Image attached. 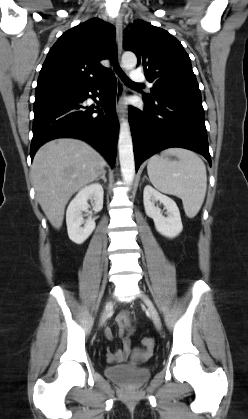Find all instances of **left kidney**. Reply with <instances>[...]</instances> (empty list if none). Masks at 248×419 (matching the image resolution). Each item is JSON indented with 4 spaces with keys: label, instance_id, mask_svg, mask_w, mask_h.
Here are the masks:
<instances>
[{
    "label": "left kidney",
    "instance_id": "obj_1",
    "mask_svg": "<svg viewBox=\"0 0 248 419\" xmlns=\"http://www.w3.org/2000/svg\"><path fill=\"white\" fill-rule=\"evenodd\" d=\"M159 201L167 210V217L162 215L160 208L155 206ZM143 203L148 217L152 218L156 230L165 237L174 238L182 229L179 209L171 198L158 192L152 186L146 185L143 192Z\"/></svg>",
    "mask_w": 248,
    "mask_h": 419
}]
</instances>
